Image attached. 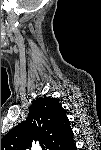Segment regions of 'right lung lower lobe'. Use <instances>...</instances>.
I'll return each mask as SVG.
<instances>
[{
  "label": "right lung lower lobe",
  "mask_w": 101,
  "mask_h": 150,
  "mask_svg": "<svg viewBox=\"0 0 101 150\" xmlns=\"http://www.w3.org/2000/svg\"><path fill=\"white\" fill-rule=\"evenodd\" d=\"M76 148V146H75V144L72 142L68 147H67V150H73V149H75Z\"/></svg>",
  "instance_id": "obj_1"
}]
</instances>
